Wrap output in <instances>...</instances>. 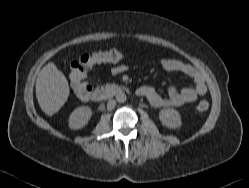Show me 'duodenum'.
<instances>
[{
    "mask_svg": "<svg viewBox=\"0 0 249 188\" xmlns=\"http://www.w3.org/2000/svg\"><path fill=\"white\" fill-rule=\"evenodd\" d=\"M122 90L118 85L101 86L92 92L91 99L95 102L104 101L118 95Z\"/></svg>",
    "mask_w": 249,
    "mask_h": 188,
    "instance_id": "410a0bca",
    "label": "duodenum"
}]
</instances>
